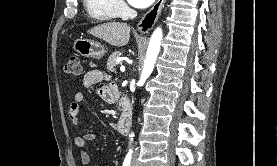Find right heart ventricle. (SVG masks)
<instances>
[{
  "label": "right heart ventricle",
  "mask_w": 277,
  "mask_h": 166,
  "mask_svg": "<svg viewBox=\"0 0 277 166\" xmlns=\"http://www.w3.org/2000/svg\"><path fill=\"white\" fill-rule=\"evenodd\" d=\"M88 16L96 22H108L116 19L120 11L116 0H83Z\"/></svg>",
  "instance_id": "1"
}]
</instances>
